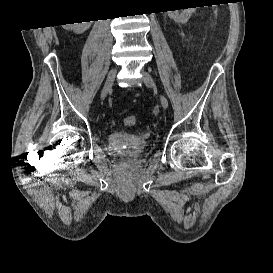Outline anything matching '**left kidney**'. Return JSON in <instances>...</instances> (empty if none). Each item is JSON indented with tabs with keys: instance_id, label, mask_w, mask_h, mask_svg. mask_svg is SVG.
I'll list each match as a JSON object with an SVG mask.
<instances>
[{
	"instance_id": "5707ae66",
	"label": "left kidney",
	"mask_w": 273,
	"mask_h": 273,
	"mask_svg": "<svg viewBox=\"0 0 273 273\" xmlns=\"http://www.w3.org/2000/svg\"><path fill=\"white\" fill-rule=\"evenodd\" d=\"M195 12V8L181 9L168 11V16L170 19H173L176 23H187L192 15Z\"/></svg>"
}]
</instances>
